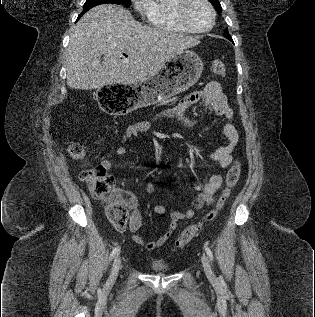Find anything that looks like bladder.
Here are the masks:
<instances>
[{
    "label": "bladder",
    "mask_w": 315,
    "mask_h": 317,
    "mask_svg": "<svg viewBox=\"0 0 315 317\" xmlns=\"http://www.w3.org/2000/svg\"><path fill=\"white\" fill-rule=\"evenodd\" d=\"M151 268L155 272H167L169 270V265L162 260H153L151 262Z\"/></svg>",
    "instance_id": "1"
}]
</instances>
